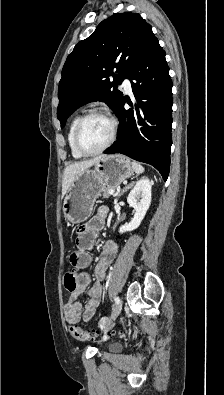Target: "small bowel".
Masks as SVG:
<instances>
[{
	"label": "small bowel",
	"instance_id": "1",
	"mask_svg": "<svg viewBox=\"0 0 224 395\" xmlns=\"http://www.w3.org/2000/svg\"><path fill=\"white\" fill-rule=\"evenodd\" d=\"M107 217L108 210L101 208L97 216L91 218L79 229L76 238L78 250L70 256L72 265L85 269L91 264L92 257L89 251L93 248ZM117 251L118 245L115 241L107 240L103 243L99 261L94 269L96 281L92 285L89 272L82 271L78 274L77 287L71 292L69 300L64 305V315L67 322L76 323L81 318L84 321H89L94 317L102 300V281L108 267L115 260ZM89 286V300L82 306L79 297Z\"/></svg>",
	"mask_w": 224,
	"mask_h": 395
}]
</instances>
